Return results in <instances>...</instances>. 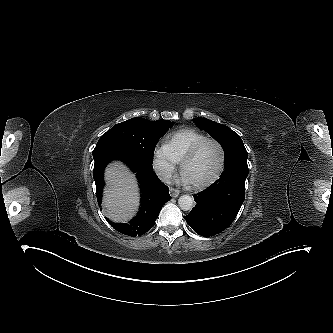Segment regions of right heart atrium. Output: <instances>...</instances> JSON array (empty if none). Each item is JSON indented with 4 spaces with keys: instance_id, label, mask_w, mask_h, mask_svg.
Segmentation results:
<instances>
[{
    "instance_id": "d8ad5b80",
    "label": "right heart atrium",
    "mask_w": 333,
    "mask_h": 333,
    "mask_svg": "<svg viewBox=\"0 0 333 333\" xmlns=\"http://www.w3.org/2000/svg\"><path fill=\"white\" fill-rule=\"evenodd\" d=\"M178 161L169 152L167 146H158L153 153V168L164 180L171 178Z\"/></svg>"
}]
</instances>
